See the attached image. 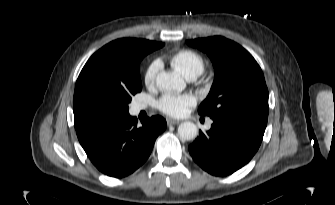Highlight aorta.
<instances>
[{
	"label": "aorta",
	"instance_id": "1",
	"mask_svg": "<svg viewBox=\"0 0 335 205\" xmlns=\"http://www.w3.org/2000/svg\"><path fill=\"white\" fill-rule=\"evenodd\" d=\"M156 85L161 90L181 91L186 84L177 73L163 71L157 75ZM178 135L186 141L194 140L198 135V128L193 122H183L178 126Z\"/></svg>",
	"mask_w": 335,
	"mask_h": 205
}]
</instances>
